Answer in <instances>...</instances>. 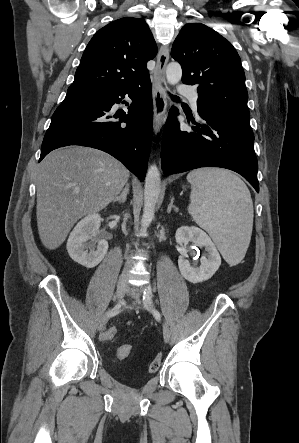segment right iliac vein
<instances>
[{
  "mask_svg": "<svg viewBox=\"0 0 299 443\" xmlns=\"http://www.w3.org/2000/svg\"><path fill=\"white\" fill-rule=\"evenodd\" d=\"M126 290H127V278L122 277L119 279V281L117 283L116 294H117L118 300H120L124 296ZM108 320H109V316L107 314L103 315L99 320L98 330H102L103 327L108 322Z\"/></svg>",
  "mask_w": 299,
  "mask_h": 443,
  "instance_id": "63e3f726",
  "label": "right iliac vein"
}]
</instances>
